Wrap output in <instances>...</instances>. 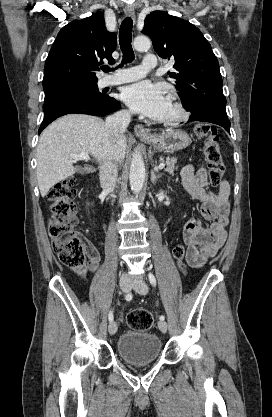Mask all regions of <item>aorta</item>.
<instances>
[{"mask_svg":"<svg viewBox=\"0 0 272 417\" xmlns=\"http://www.w3.org/2000/svg\"><path fill=\"white\" fill-rule=\"evenodd\" d=\"M137 51H147L151 47V41L146 36H137L133 42ZM146 176L145 165L140 152L135 151L132 155L129 181L131 190L138 194L143 187Z\"/></svg>","mask_w":272,"mask_h":417,"instance_id":"1","label":"aorta"}]
</instances>
